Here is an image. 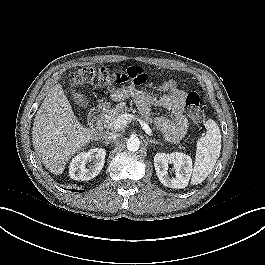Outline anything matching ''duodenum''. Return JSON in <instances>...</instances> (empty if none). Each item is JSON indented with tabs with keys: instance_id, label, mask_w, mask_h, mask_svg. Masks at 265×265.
<instances>
[{
	"instance_id": "410a0bca",
	"label": "duodenum",
	"mask_w": 265,
	"mask_h": 265,
	"mask_svg": "<svg viewBox=\"0 0 265 265\" xmlns=\"http://www.w3.org/2000/svg\"><path fill=\"white\" fill-rule=\"evenodd\" d=\"M105 112V106H96L88 116V122L92 128V135L94 138H98L102 135V119Z\"/></svg>"
}]
</instances>
